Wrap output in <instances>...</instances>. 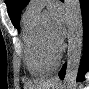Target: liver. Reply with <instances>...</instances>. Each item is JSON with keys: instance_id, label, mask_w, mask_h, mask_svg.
Listing matches in <instances>:
<instances>
[{"instance_id": "6515ba94", "label": "liver", "mask_w": 89, "mask_h": 89, "mask_svg": "<svg viewBox=\"0 0 89 89\" xmlns=\"http://www.w3.org/2000/svg\"><path fill=\"white\" fill-rule=\"evenodd\" d=\"M56 85H58V83L54 79H35L29 81L24 89H52Z\"/></svg>"}]
</instances>
